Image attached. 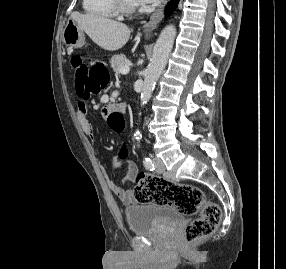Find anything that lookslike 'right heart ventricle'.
I'll use <instances>...</instances> for the list:
<instances>
[{
    "mask_svg": "<svg viewBox=\"0 0 286 269\" xmlns=\"http://www.w3.org/2000/svg\"><path fill=\"white\" fill-rule=\"evenodd\" d=\"M82 7L86 14L101 19L114 18L118 14L111 0H82Z\"/></svg>",
    "mask_w": 286,
    "mask_h": 269,
    "instance_id": "1",
    "label": "right heart ventricle"
}]
</instances>
